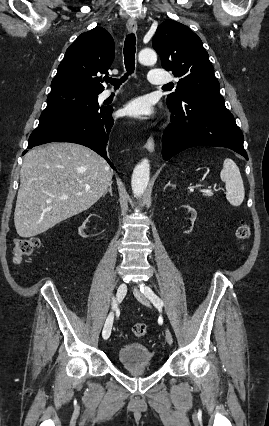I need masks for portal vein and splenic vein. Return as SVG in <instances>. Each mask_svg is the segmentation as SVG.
<instances>
[{"label": "portal vein and splenic vein", "instance_id": "18ae733b", "mask_svg": "<svg viewBox=\"0 0 269 426\" xmlns=\"http://www.w3.org/2000/svg\"><path fill=\"white\" fill-rule=\"evenodd\" d=\"M202 192L212 193V190L211 189H204V190H202Z\"/></svg>", "mask_w": 269, "mask_h": 426}]
</instances>
